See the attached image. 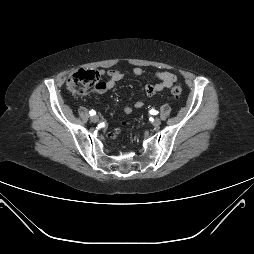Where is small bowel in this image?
Returning a JSON list of instances; mask_svg holds the SVG:
<instances>
[{
  "instance_id": "1",
  "label": "small bowel",
  "mask_w": 254,
  "mask_h": 254,
  "mask_svg": "<svg viewBox=\"0 0 254 254\" xmlns=\"http://www.w3.org/2000/svg\"><path fill=\"white\" fill-rule=\"evenodd\" d=\"M132 74H134L135 76H141L144 74V69L141 67H135L132 69ZM99 75L105 78L106 80L100 81V85L94 88V91L98 94H103L106 91L112 89L125 76L122 70L117 69L108 71L101 70L99 72ZM155 77L159 80V82L156 84H147L144 88L145 93L150 97L163 91L164 89L171 87L177 80V77L174 74L166 71L155 72ZM143 105L144 103L141 100H137L134 103V106L136 108H141L143 107ZM124 112L126 114H130L132 112V108L126 107L124 109Z\"/></svg>"
}]
</instances>
